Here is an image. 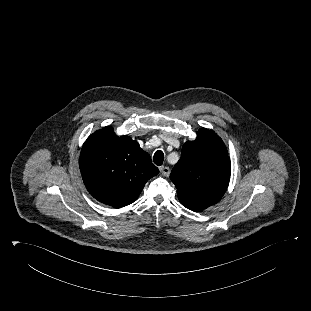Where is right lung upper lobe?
<instances>
[{
    "label": "right lung upper lobe",
    "mask_w": 311,
    "mask_h": 311,
    "mask_svg": "<svg viewBox=\"0 0 311 311\" xmlns=\"http://www.w3.org/2000/svg\"><path fill=\"white\" fill-rule=\"evenodd\" d=\"M79 163L88 192L115 208L133 203L146 182L159 172L136 141L117 136L110 126L87 138Z\"/></svg>",
    "instance_id": "obj_1"
}]
</instances>
